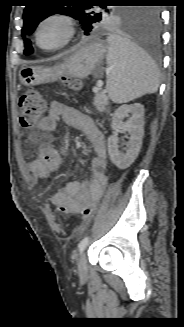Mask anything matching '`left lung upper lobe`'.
I'll return each mask as SVG.
<instances>
[{
    "instance_id": "1",
    "label": "left lung upper lobe",
    "mask_w": 184,
    "mask_h": 327,
    "mask_svg": "<svg viewBox=\"0 0 184 327\" xmlns=\"http://www.w3.org/2000/svg\"><path fill=\"white\" fill-rule=\"evenodd\" d=\"M90 0H77L74 6H62L52 0H32L23 12L24 25L22 35H30L37 25L46 17L59 13L71 16L80 21L84 33L88 35L92 29L112 23H120L126 26L136 25L142 14L143 9H113L106 4L91 6ZM103 3H124L130 0H104ZM25 40L24 54L29 55L33 52L29 39Z\"/></svg>"
}]
</instances>
